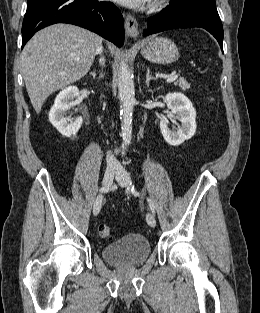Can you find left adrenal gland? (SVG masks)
Instances as JSON below:
<instances>
[{
    "mask_svg": "<svg viewBox=\"0 0 260 313\" xmlns=\"http://www.w3.org/2000/svg\"><path fill=\"white\" fill-rule=\"evenodd\" d=\"M156 79H157L156 77H153V76L150 74V70L147 69L146 81H145L147 87H149V82H150L151 80H156Z\"/></svg>",
    "mask_w": 260,
    "mask_h": 313,
    "instance_id": "a2214340",
    "label": "left adrenal gland"
}]
</instances>
